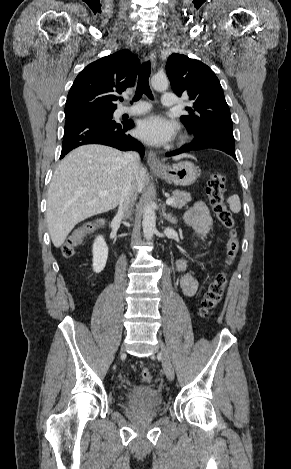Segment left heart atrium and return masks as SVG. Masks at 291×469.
Here are the masks:
<instances>
[{"instance_id": "left-heart-atrium-1", "label": "left heart atrium", "mask_w": 291, "mask_h": 469, "mask_svg": "<svg viewBox=\"0 0 291 469\" xmlns=\"http://www.w3.org/2000/svg\"><path fill=\"white\" fill-rule=\"evenodd\" d=\"M175 132V123L160 115L147 116L139 122L137 127L138 137L152 145H163L169 142Z\"/></svg>"}]
</instances>
